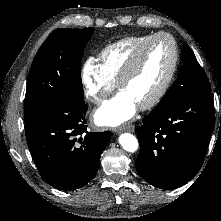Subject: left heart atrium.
<instances>
[{
	"mask_svg": "<svg viewBox=\"0 0 221 221\" xmlns=\"http://www.w3.org/2000/svg\"><path fill=\"white\" fill-rule=\"evenodd\" d=\"M137 108L136 103L128 95L120 92L97 109L94 118L99 125L115 127L129 121Z\"/></svg>",
	"mask_w": 221,
	"mask_h": 221,
	"instance_id": "obj_1",
	"label": "left heart atrium"
}]
</instances>
